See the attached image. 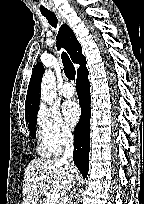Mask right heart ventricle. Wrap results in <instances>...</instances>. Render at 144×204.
Instances as JSON below:
<instances>
[{
  "label": "right heart ventricle",
  "mask_w": 144,
  "mask_h": 204,
  "mask_svg": "<svg viewBox=\"0 0 144 204\" xmlns=\"http://www.w3.org/2000/svg\"><path fill=\"white\" fill-rule=\"evenodd\" d=\"M39 153H40L42 156H51V155L53 154L52 151L48 150L47 148H45V147L42 146V145H40Z\"/></svg>",
  "instance_id": "obj_1"
}]
</instances>
